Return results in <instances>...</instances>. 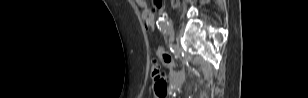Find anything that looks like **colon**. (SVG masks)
<instances>
[{
    "instance_id": "obj_1",
    "label": "colon",
    "mask_w": 308,
    "mask_h": 98,
    "mask_svg": "<svg viewBox=\"0 0 308 98\" xmlns=\"http://www.w3.org/2000/svg\"><path fill=\"white\" fill-rule=\"evenodd\" d=\"M154 3L159 4V3H161V1L155 0ZM139 15L143 16L145 29L147 31H155L156 30V25L151 24V22L154 21V16L151 14L150 9H140ZM159 58H160L161 62L169 68H173V67L176 66L173 58L167 53H164V52L160 53ZM152 75L154 77V89H155L157 96L164 97L167 93L166 81H165L164 76L161 73L159 67L157 66V64L153 65Z\"/></svg>"
}]
</instances>
